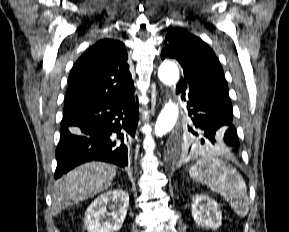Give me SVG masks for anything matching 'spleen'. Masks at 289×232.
I'll return each instance as SVG.
<instances>
[{"label": "spleen", "mask_w": 289, "mask_h": 232, "mask_svg": "<svg viewBox=\"0 0 289 232\" xmlns=\"http://www.w3.org/2000/svg\"><path fill=\"white\" fill-rule=\"evenodd\" d=\"M189 173L212 191L220 193L239 217L247 215V187L236 168L218 158L209 157L198 160Z\"/></svg>", "instance_id": "spleen-1"}]
</instances>
